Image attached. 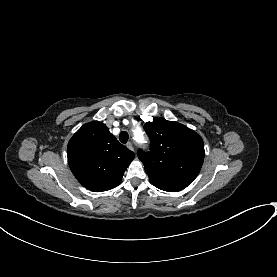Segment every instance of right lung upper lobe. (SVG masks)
I'll list each match as a JSON object with an SVG mask.
<instances>
[{
    "instance_id": "obj_1",
    "label": "right lung upper lobe",
    "mask_w": 277,
    "mask_h": 277,
    "mask_svg": "<svg viewBox=\"0 0 277 277\" xmlns=\"http://www.w3.org/2000/svg\"><path fill=\"white\" fill-rule=\"evenodd\" d=\"M68 163L80 184L91 191H107L118 186L135 154L120 144L105 124L83 125L67 148Z\"/></svg>"
}]
</instances>
